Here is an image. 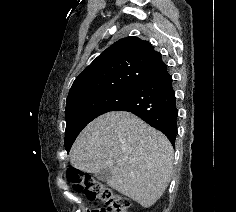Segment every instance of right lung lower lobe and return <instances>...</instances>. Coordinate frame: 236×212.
I'll list each match as a JSON object with an SVG mask.
<instances>
[{"label":"right lung lower lobe","instance_id":"98d812e1","mask_svg":"<svg viewBox=\"0 0 236 212\" xmlns=\"http://www.w3.org/2000/svg\"><path fill=\"white\" fill-rule=\"evenodd\" d=\"M115 111H127L137 115L163 132L174 145L178 111L173 80L167 65L162 62L159 67L145 75L134 87L130 97Z\"/></svg>","mask_w":236,"mask_h":212}]
</instances>
